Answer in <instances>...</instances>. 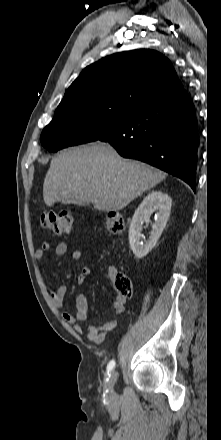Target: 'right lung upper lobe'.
I'll return each instance as SVG.
<instances>
[{
  "label": "right lung upper lobe",
  "instance_id": "right-lung-upper-lobe-1",
  "mask_svg": "<svg viewBox=\"0 0 221 440\" xmlns=\"http://www.w3.org/2000/svg\"><path fill=\"white\" fill-rule=\"evenodd\" d=\"M182 88L166 57L157 51L140 49L113 54L86 67L58 107L75 102L109 101L137 109Z\"/></svg>",
  "mask_w": 221,
  "mask_h": 440
}]
</instances>
